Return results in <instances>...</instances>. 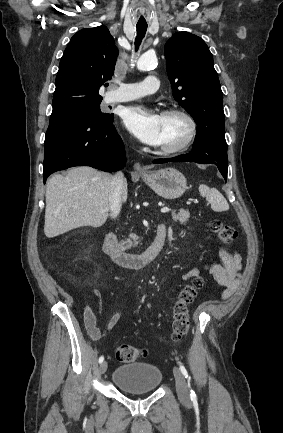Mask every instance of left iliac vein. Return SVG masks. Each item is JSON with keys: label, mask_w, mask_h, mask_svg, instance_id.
<instances>
[{"label": "left iliac vein", "mask_w": 283, "mask_h": 433, "mask_svg": "<svg viewBox=\"0 0 283 433\" xmlns=\"http://www.w3.org/2000/svg\"><path fill=\"white\" fill-rule=\"evenodd\" d=\"M173 372L178 397L183 401L184 404L190 405L189 390L182 372L176 366H174Z\"/></svg>", "instance_id": "left-iliac-vein-1"}]
</instances>
